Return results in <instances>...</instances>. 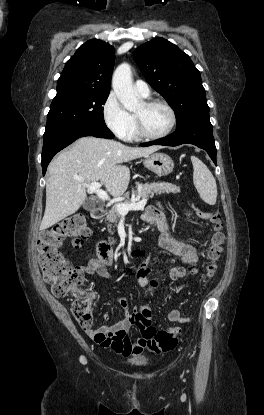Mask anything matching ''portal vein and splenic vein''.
Instances as JSON below:
<instances>
[{
    "mask_svg": "<svg viewBox=\"0 0 264 415\" xmlns=\"http://www.w3.org/2000/svg\"><path fill=\"white\" fill-rule=\"evenodd\" d=\"M88 190L95 193L101 200H108V194L101 189L102 184L99 182L85 183ZM147 203V198H143L138 202H131L128 204L120 203L117 204L116 209L119 214L125 215L131 210H141Z\"/></svg>",
    "mask_w": 264,
    "mask_h": 415,
    "instance_id": "18ae733b",
    "label": "portal vein and splenic vein"
}]
</instances>
